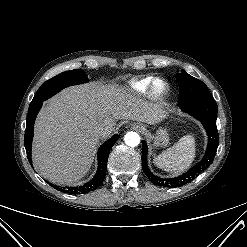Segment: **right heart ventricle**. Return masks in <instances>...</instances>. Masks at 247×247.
Listing matches in <instances>:
<instances>
[{"instance_id": "obj_1", "label": "right heart ventricle", "mask_w": 247, "mask_h": 247, "mask_svg": "<svg viewBox=\"0 0 247 247\" xmlns=\"http://www.w3.org/2000/svg\"><path fill=\"white\" fill-rule=\"evenodd\" d=\"M152 79L153 77L151 76L136 78L129 82L128 87L132 92L142 94L148 90L149 84Z\"/></svg>"}]
</instances>
